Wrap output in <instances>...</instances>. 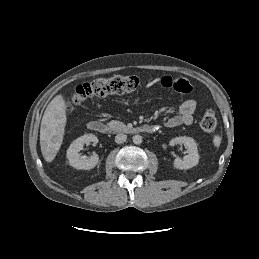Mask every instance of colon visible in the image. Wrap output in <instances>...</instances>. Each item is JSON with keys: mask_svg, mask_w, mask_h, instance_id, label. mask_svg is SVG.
Returning a JSON list of instances; mask_svg holds the SVG:
<instances>
[{"mask_svg": "<svg viewBox=\"0 0 259 259\" xmlns=\"http://www.w3.org/2000/svg\"><path fill=\"white\" fill-rule=\"evenodd\" d=\"M141 80L137 76H114L108 79L98 78L93 81L79 85L71 99L68 101L70 108L79 106L82 102L91 98H101L112 94L132 93L141 86ZM160 84L168 90L181 94H189L192 85L186 78H173L165 76ZM217 127L215 113L207 110L201 120V128L207 133H213Z\"/></svg>", "mask_w": 259, "mask_h": 259, "instance_id": "obj_1", "label": "colon"}]
</instances>
